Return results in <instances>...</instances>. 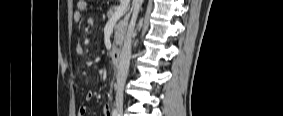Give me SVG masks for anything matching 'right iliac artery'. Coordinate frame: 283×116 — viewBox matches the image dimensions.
<instances>
[{
	"label": "right iliac artery",
	"instance_id": "82829eb1",
	"mask_svg": "<svg viewBox=\"0 0 283 116\" xmlns=\"http://www.w3.org/2000/svg\"><path fill=\"white\" fill-rule=\"evenodd\" d=\"M112 116H119L118 112L116 110H113Z\"/></svg>",
	"mask_w": 283,
	"mask_h": 116
}]
</instances>
